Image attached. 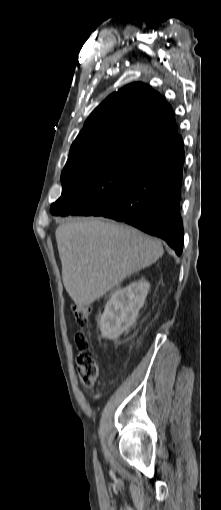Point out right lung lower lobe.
Segmentation results:
<instances>
[{
  "mask_svg": "<svg viewBox=\"0 0 221 510\" xmlns=\"http://www.w3.org/2000/svg\"><path fill=\"white\" fill-rule=\"evenodd\" d=\"M183 140L178 136L148 154L130 184L102 208L75 209L73 215H94L130 224L167 242L177 255L183 249L181 199Z\"/></svg>",
  "mask_w": 221,
  "mask_h": 510,
  "instance_id": "1",
  "label": "right lung lower lobe"
}]
</instances>
